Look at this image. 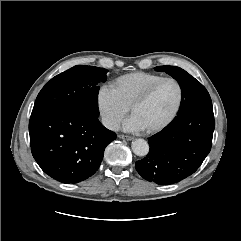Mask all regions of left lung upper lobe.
<instances>
[{
    "label": "left lung upper lobe",
    "instance_id": "1",
    "mask_svg": "<svg viewBox=\"0 0 241 241\" xmlns=\"http://www.w3.org/2000/svg\"><path fill=\"white\" fill-rule=\"evenodd\" d=\"M155 70L165 71L177 80L181 87L182 100L175 119L203 108H212V101L206 88L185 70L175 66H158Z\"/></svg>",
    "mask_w": 241,
    "mask_h": 241
}]
</instances>
